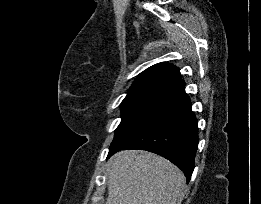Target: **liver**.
<instances>
[{"label": "liver", "mask_w": 261, "mask_h": 204, "mask_svg": "<svg viewBox=\"0 0 261 204\" xmlns=\"http://www.w3.org/2000/svg\"><path fill=\"white\" fill-rule=\"evenodd\" d=\"M185 177L167 159L150 153L121 151L109 161L105 204H177Z\"/></svg>", "instance_id": "1"}]
</instances>
